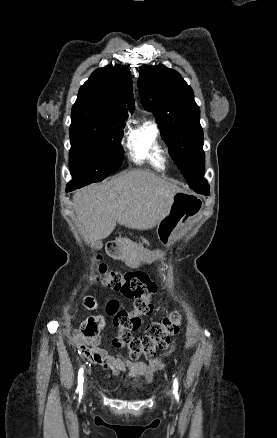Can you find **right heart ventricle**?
Returning <instances> with one entry per match:
<instances>
[{"mask_svg": "<svg viewBox=\"0 0 277 438\" xmlns=\"http://www.w3.org/2000/svg\"><path fill=\"white\" fill-rule=\"evenodd\" d=\"M131 159L136 163L148 160L158 169L165 167V150L158 140V129L152 122H145L131 130L127 140Z\"/></svg>", "mask_w": 277, "mask_h": 438, "instance_id": "obj_1", "label": "right heart ventricle"}]
</instances>
